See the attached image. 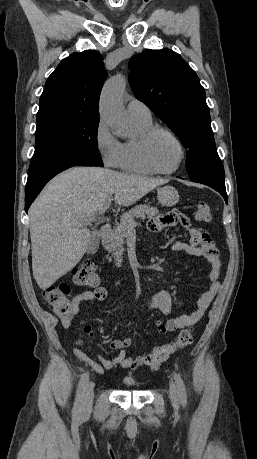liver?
Segmentation results:
<instances>
[{
	"label": "liver",
	"mask_w": 257,
	"mask_h": 459,
	"mask_svg": "<svg viewBox=\"0 0 257 459\" xmlns=\"http://www.w3.org/2000/svg\"><path fill=\"white\" fill-rule=\"evenodd\" d=\"M168 180L98 167H74L52 179L29 210L32 270L41 289L53 285L82 259L90 218L111 195L130 206Z\"/></svg>",
	"instance_id": "obj_1"
}]
</instances>
